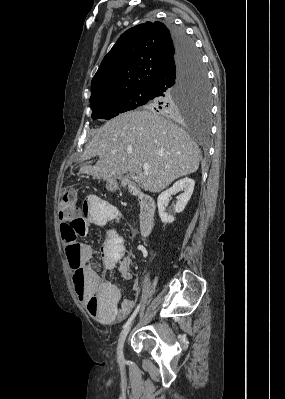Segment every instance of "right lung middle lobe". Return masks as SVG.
<instances>
[{
	"instance_id": "obj_1",
	"label": "right lung middle lobe",
	"mask_w": 285,
	"mask_h": 399,
	"mask_svg": "<svg viewBox=\"0 0 285 399\" xmlns=\"http://www.w3.org/2000/svg\"><path fill=\"white\" fill-rule=\"evenodd\" d=\"M165 100L172 106H165ZM93 119L109 120L120 113L139 106L166 114L179 111H194L208 120L211 109L210 85L201 57L197 52L193 62L185 70L180 82L166 93V97L156 96L150 88L131 89L90 100Z\"/></svg>"
}]
</instances>
